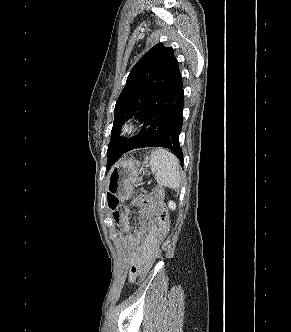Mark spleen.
Segmentation results:
<instances>
[{
  "label": "spleen",
  "instance_id": "spleen-1",
  "mask_svg": "<svg viewBox=\"0 0 291 332\" xmlns=\"http://www.w3.org/2000/svg\"><path fill=\"white\" fill-rule=\"evenodd\" d=\"M149 164L159 185L173 189L180 187V164L173 153L156 149L151 153Z\"/></svg>",
  "mask_w": 291,
  "mask_h": 332
}]
</instances>
